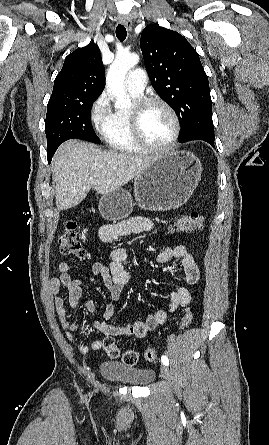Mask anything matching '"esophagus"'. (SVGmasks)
Listing matches in <instances>:
<instances>
[{
    "instance_id": "34e87169",
    "label": "esophagus",
    "mask_w": 269,
    "mask_h": 445,
    "mask_svg": "<svg viewBox=\"0 0 269 445\" xmlns=\"http://www.w3.org/2000/svg\"><path fill=\"white\" fill-rule=\"evenodd\" d=\"M120 24H123L129 31L132 29V21L126 16H121L119 18Z\"/></svg>"
}]
</instances>
